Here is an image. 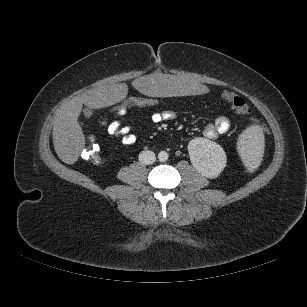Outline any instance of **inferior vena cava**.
I'll list each match as a JSON object with an SVG mask.
<instances>
[{
	"instance_id": "inferior-vena-cava-1",
	"label": "inferior vena cava",
	"mask_w": 307,
	"mask_h": 307,
	"mask_svg": "<svg viewBox=\"0 0 307 307\" xmlns=\"http://www.w3.org/2000/svg\"><path fill=\"white\" fill-rule=\"evenodd\" d=\"M156 156L153 151L144 150L139 154V162L145 165H151L155 162Z\"/></svg>"
}]
</instances>
